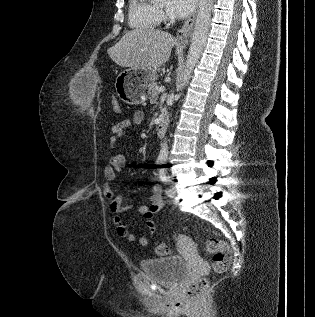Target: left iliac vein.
<instances>
[{"instance_id":"4c4485c4","label":"left iliac vein","mask_w":315,"mask_h":317,"mask_svg":"<svg viewBox=\"0 0 315 317\" xmlns=\"http://www.w3.org/2000/svg\"><path fill=\"white\" fill-rule=\"evenodd\" d=\"M166 193L168 196L174 197L176 195V187L172 185L171 188L168 189Z\"/></svg>"}]
</instances>
